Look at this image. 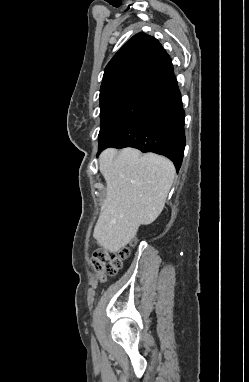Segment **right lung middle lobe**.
Instances as JSON below:
<instances>
[{"mask_svg":"<svg viewBox=\"0 0 249 382\" xmlns=\"http://www.w3.org/2000/svg\"><path fill=\"white\" fill-rule=\"evenodd\" d=\"M151 102L126 99L100 108L99 147L125 130Z\"/></svg>","mask_w":249,"mask_h":382,"instance_id":"obj_1","label":"right lung middle lobe"}]
</instances>
